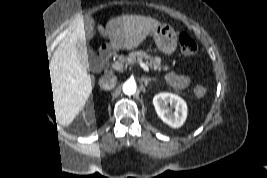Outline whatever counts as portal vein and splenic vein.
I'll list each match as a JSON object with an SVG mask.
<instances>
[{
	"mask_svg": "<svg viewBox=\"0 0 267 178\" xmlns=\"http://www.w3.org/2000/svg\"><path fill=\"white\" fill-rule=\"evenodd\" d=\"M140 65L145 71H149V68L147 65H145L144 63H141ZM121 68H122V64H120V63L115 62L112 64V69H114V70H118Z\"/></svg>",
	"mask_w": 267,
	"mask_h": 178,
	"instance_id": "portal-vein-and-splenic-vein-1",
	"label": "portal vein and splenic vein"
}]
</instances>
